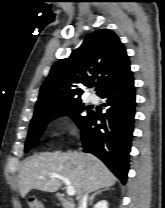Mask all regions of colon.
<instances>
[{"label":"colon","mask_w":165,"mask_h":208,"mask_svg":"<svg viewBox=\"0 0 165 208\" xmlns=\"http://www.w3.org/2000/svg\"><path fill=\"white\" fill-rule=\"evenodd\" d=\"M29 208H44L43 204L37 199H32L29 201Z\"/></svg>","instance_id":"1"}]
</instances>
